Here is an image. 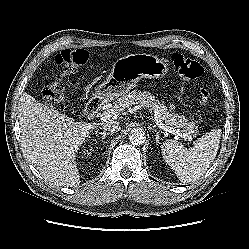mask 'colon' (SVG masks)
Listing matches in <instances>:
<instances>
[{
	"mask_svg": "<svg viewBox=\"0 0 249 249\" xmlns=\"http://www.w3.org/2000/svg\"><path fill=\"white\" fill-rule=\"evenodd\" d=\"M89 55L85 50L65 49L56 55L55 62L59 68V75L45 86L42 91V99L45 104L57 111L64 109V83L63 78L75 73L88 61ZM171 63L175 71L185 80L199 79L204 69L200 63L180 53L171 56ZM210 101V92L206 88L199 91V102L206 106Z\"/></svg>",
	"mask_w": 249,
	"mask_h": 249,
	"instance_id": "obj_1",
	"label": "colon"
}]
</instances>
